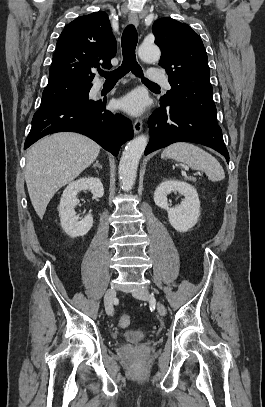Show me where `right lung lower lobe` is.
<instances>
[{
  "label": "right lung lower lobe",
  "instance_id": "obj_1",
  "mask_svg": "<svg viewBox=\"0 0 265 407\" xmlns=\"http://www.w3.org/2000/svg\"><path fill=\"white\" fill-rule=\"evenodd\" d=\"M89 91L78 100L39 109L24 149L45 135L71 131L90 137L117 156L121 145L133 137L131 121L105 110L106 100L90 99Z\"/></svg>",
  "mask_w": 265,
  "mask_h": 407
}]
</instances>
